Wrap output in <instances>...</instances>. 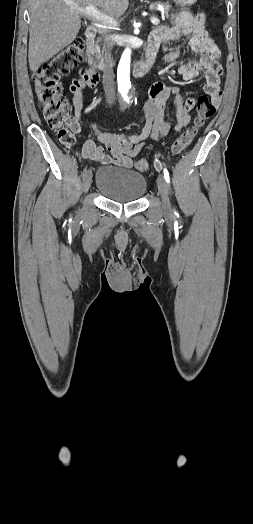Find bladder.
<instances>
[{"instance_id":"bladder-1","label":"bladder","mask_w":253,"mask_h":524,"mask_svg":"<svg viewBox=\"0 0 253 524\" xmlns=\"http://www.w3.org/2000/svg\"><path fill=\"white\" fill-rule=\"evenodd\" d=\"M96 188L106 199L129 203L144 195L147 181L144 175L133 170L103 166L97 171Z\"/></svg>"}]
</instances>
